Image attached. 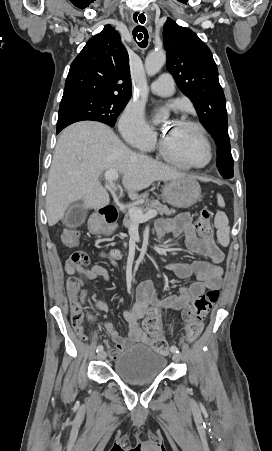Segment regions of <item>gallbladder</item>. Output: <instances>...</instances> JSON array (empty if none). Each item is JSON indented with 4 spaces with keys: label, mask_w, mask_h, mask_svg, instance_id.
Segmentation results:
<instances>
[{
    "label": "gallbladder",
    "mask_w": 272,
    "mask_h": 451,
    "mask_svg": "<svg viewBox=\"0 0 272 451\" xmlns=\"http://www.w3.org/2000/svg\"><path fill=\"white\" fill-rule=\"evenodd\" d=\"M87 214L88 210H85L82 204H73V206H69L67 214L62 222L67 227H78L81 226V224H84Z\"/></svg>",
    "instance_id": "1"
}]
</instances>
